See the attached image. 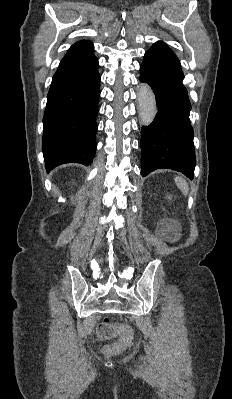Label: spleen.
Masks as SVG:
<instances>
[{
    "instance_id": "spleen-1",
    "label": "spleen",
    "mask_w": 232,
    "mask_h": 399,
    "mask_svg": "<svg viewBox=\"0 0 232 399\" xmlns=\"http://www.w3.org/2000/svg\"><path fill=\"white\" fill-rule=\"evenodd\" d=\"M174 182L177 188L181 190L182 194H184V196H188L189 186L186 180H184V178H181V176H176V178H174Z\"/></svg>"
}]
</instances>
